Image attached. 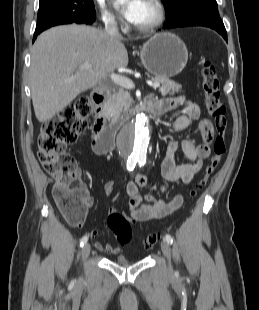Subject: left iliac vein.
Returning a JSON list of instances; mask_svg holds the SVG:
<instances>
[{
	"label": "left iliac vein",
	"instance_id": "1",
	"mask_svg": "<svg viewBox=\"0 0 259 310\" xmlns=\"http://www.w3.org/2000/svg\"><path fill=\"white\" fill-rule=\"evenodd\" d=\"M161 249L168 262V271L171 273L172 272L171 249L169 243L166 240H162Z\"/></svg>",
	"mask_w": 259,
	"mask_h": 310
}]
</instances>
